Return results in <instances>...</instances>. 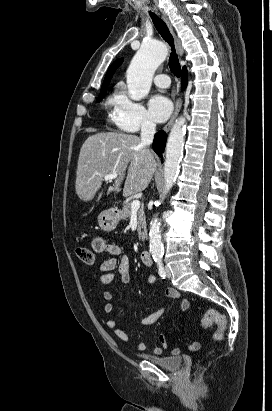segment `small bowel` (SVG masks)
<instances>
[{"label":"small bowel","mask_w":272,"mask_h":411,"mask_svg":"<svg viewBox=\"0 0 272 411\" xmlns=\"http://www.w3.org/2000/svg\"><path fill=\"white\" fill-rule=\"evenodd\" d=\"M92 248L97 253H108L111 257L104 260L100 266L102 274L100 276V282L102 285H110L115 279L114 271L117 270L119 281L123 284L128 283L130 279V261L129 258L122 253V249L119 245L106 241L103 237H95L92 241ZM147 284H155L157 278L154 275H148L145 278ZM165 295L170 299H180V293L175 288H168L165 291ZM103 298L105 300L104 312L106 314H111L114 309L112 303L113 294L110 291L103 292ZM189 308V301L185 298L180 299V310L185 312ZM166 308L163 307L146 317L134 320L137 325H150L155 323L164 313ZM106 326L110 329L113 334L120 340L124 342H129L131 338L129 335L120 328L113 319H108L106 321ZM160 345L153 348V352L156 355L163 353L164 349L168 347V338L166 334H161L159 336ZM135 347L138 351H144L146 349V344L144 341L139 340L135 343ZM200 348L199 342H192L189 344L188 349L190 351H197ZM171 353L173 355H179L181 350L179 348H172Z\"/></svg>","instance_id":"obj_1"}]
</instances>
